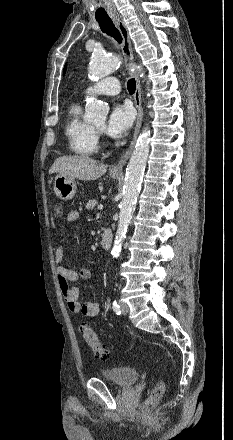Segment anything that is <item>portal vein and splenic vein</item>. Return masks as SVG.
I'll list each match as a JSON object with an SVG mask.
<instances>
[{"instance_id":"obj_1","label":"portal vein and splenic vein","mask_w":233,"mask_h":440,"mask_svg":"<svg viewBox=\"0 0 233 440\" xmlns=\"http://www.w3.org/2000/svg\"><path fill=\"white\" fill-rule=\"evenodd\" d=\"M98 209L102 210L103 209V205L102 204L98 205Z\"/></svg>"}]
</instances>
